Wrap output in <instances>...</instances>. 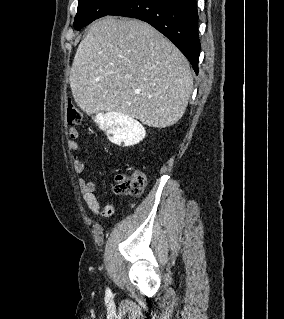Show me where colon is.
<instances>
[{"label":"colon","mask_w":284,"mask_h":319,"mask_svg":"<svg viewBox=\"0 0 284 319\" xmlns=\"http://www.w3.org/2000/svg\"><path fill=\"white\" fill-rule=\"evenodd\" d=\"M67 121L68 124L72 125H80L83 122L81 111L71 102L68 103L67 107ZM145 184V175L140 171H136L129 176H117L115 179V191L121 195L138 197L143 193Z\"/></svg>","instance_id":"1"}]
</instances>
